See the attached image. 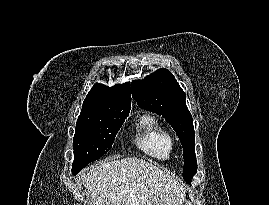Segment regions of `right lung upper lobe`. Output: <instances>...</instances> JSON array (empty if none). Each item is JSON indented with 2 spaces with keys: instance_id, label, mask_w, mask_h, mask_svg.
Instances as JSON below:
<instances>
[{
  "instance_id": "1",
  "label": "right lung upper lobe",
  "mask_w": 269,
  "mask_h": 205,
  "mask_svg": "<svg viewBox=\"0 0 269 205\" xmlns=\"http://www.w3.org/2000/svg\"><path fill=\"white\" fill-rule=\"evenodd\" d=\"M130 108L129 82L111 88L96 83L83 102L80 116H128Z\"/></svg>"
}]
</instances>
